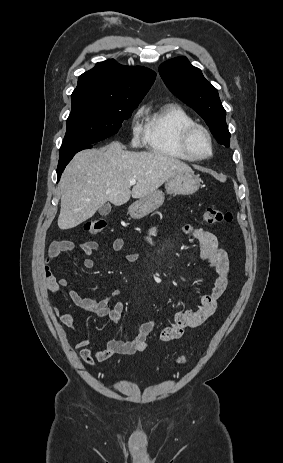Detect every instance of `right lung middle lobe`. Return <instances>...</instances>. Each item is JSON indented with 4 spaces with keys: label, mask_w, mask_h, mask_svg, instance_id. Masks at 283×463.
<instances>
[{
    "label": "right lung middle lobe",
    "mask_w": 283,
    "mask_h": 463,
    "mask_svg": "<svg viewBox=\"0 0 283 463\" xmlns=\"http://www.w3.org/2000/svg\"><path fill=\"white\" fill-rule=\"evenodd\" d=\"M72 110L60 151L93 144L118 132L139 102L72 94Z\"/></svg>",
    "instance_id": "right-lung-middle-lobe-1"
}]
</instances>
